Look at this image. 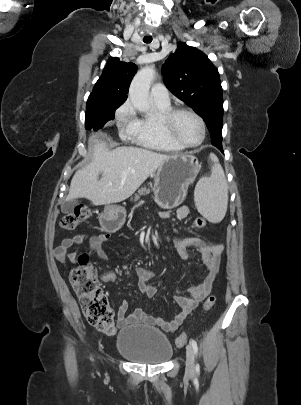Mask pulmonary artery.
I'll use <instances>...</instances> for the list:
<instances>
[{
	"label": "pulmonary artery",
	"mask_w": 301,
	"mask_h": 405,
	"mask_svg": "<svg viewBox=\"0 0 301 405\" xmlns=\"http://www.w3.org/2000/svg\"><path fill=\"white\" fill-rule=\"evenodd\" d=\"M151 100L161 106H170L169 92L167 88L161 84L157 83L152 86L150 91Z\"/></svg>",
	"instance_id": "e3ab8cb5"
}]
</instances>
